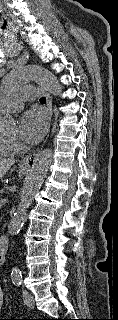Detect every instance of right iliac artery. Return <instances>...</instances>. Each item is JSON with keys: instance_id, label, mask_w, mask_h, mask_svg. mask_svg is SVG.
<instances>
[{"instance_id": "1", "label": "right iliac artery", "mask_w": 118, "mask_h": 320, "mask_svg": "<svg viewBox=\"0 0 118 320\" xmlns=\"http://www.w3.org/2000/svg\"><path fill=\"white\" fill-rule=\"evenodd\" d=\"M14 284L18 286V284L16 282H14Z\"/></svg>"}]
</instances>
